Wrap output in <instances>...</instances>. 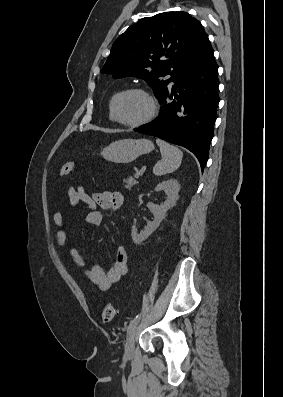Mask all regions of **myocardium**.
Masks as SVG:
<instances>
[{
    "label": "myocardium",
    "mask_w": 283,
    "mask_h": 397,
    "mask_svg": "<svg viewBox=\"0 0 283 397\" xmlns=\"http://www.w3.org/2000/svg\"><path fill=\"white\" fill-rule=\"evenodd\" d=\"M128 93H140V94L144 95L147 98V100L149 101L150 111L146 117H144L143 119H141L139 121H135V122L123 121L117 115V111H116L117 101L119 100L120 97H122L123 95L128 94ZM111 113H112L113 120L116 121L117 123H119L125 127L137 128V127H141L143 125L148 124L156 117V115L158 113V103H157V100L154 97V95L147 89L142 88V87H130V88L121 90L115 94V96L113 97V99L111 101Z\"/></svg>",
    "instance_id": "obj_1"
}]
</instances>
